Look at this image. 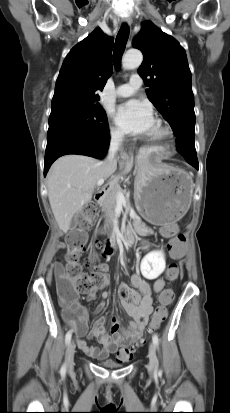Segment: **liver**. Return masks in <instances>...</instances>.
<instances>
[{
  "mask_svg": "<svg viewBox=\"0 0 230 413\" xmlns=\"http://www.w3.org/2000/svg\"><path fill=\"white\" fill-rule=\"evenodd\" d=\"M116 168L77 154L62 156L53 163L47 175L48 198L60 230H69L74 214L92 199L98 180L108 179Z\"/></svg>",
  "mask_w": 230,
  "mask_h": 413,
  "instance_id": "liver-1",
  "label": "liver"
}]
</instances>
